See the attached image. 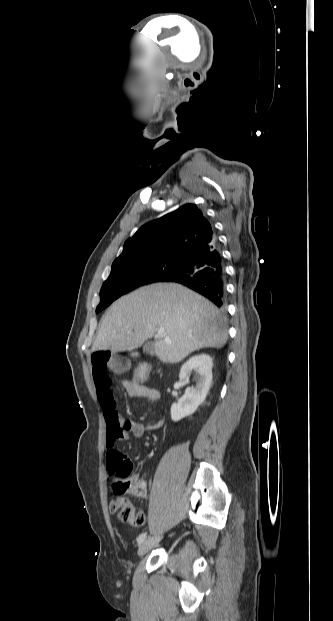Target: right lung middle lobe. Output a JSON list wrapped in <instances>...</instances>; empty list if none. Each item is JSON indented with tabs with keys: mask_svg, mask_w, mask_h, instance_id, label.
<instances>
[{
	"mask_svg": "<svg viewBox=\"0 0 333 621\" xmlns=\"http://www.w3.org/2000/svg\"><path fill=\"white\" fill-rule=\"evenodd\" d=\"M183 263L184 258L159 257L112 264L110 276L100 291V304L96 313L139 286L162 281L175 273Z\"/></svg>",
	"mask_w": 333,
	"mask_h": 621,
	"instance_id": "right-lung-middle-lobe-1",
	"label": "right lung middle lobe"
}]
</instances>
